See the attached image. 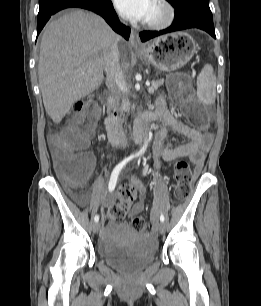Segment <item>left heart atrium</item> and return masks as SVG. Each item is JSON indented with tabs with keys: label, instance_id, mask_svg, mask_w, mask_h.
Listing matches in <instances>:
<instances>
[{
	"label": "left heart atrium",
	"instance_id": "left-heart-atrium-1",
	"mask_svg": "<svg viewBox=\"0 0 261 306\" xmlns=\"http://www.w3.org/2000/svg\"><path fill=\"white\" fill-rule=\"evenodd\" d=\"M154 0H114L118 12L132 21L145 20Z\"/></svg>",
	"mask_w": 261,
	"mask_h": 306
}]
</instances>
